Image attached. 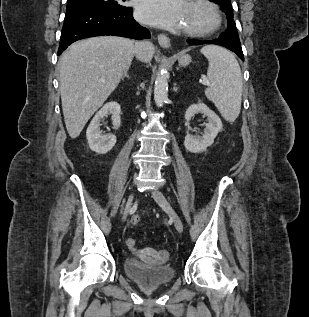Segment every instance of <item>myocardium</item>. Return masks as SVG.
<instances>
[{"instance_id":"obj_1","label":"myocardium","mask_w":309,"mask_h":317,"mask_svg":"<svg viewBox=\"0 0 309 317\" xmlns=\"http://www.w3.org/2000/svg\"><path fill=\"white\" fill-rule=\"evenodd\" d=\"M191 5L199 7L207 12L210 21L203 27L184 28V34L191 37H206L216 32L222 23V18L217 6L209 0H192Z\"/></svg>"}]
</instances>
